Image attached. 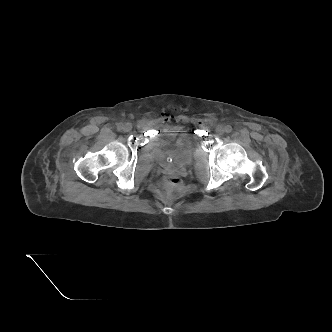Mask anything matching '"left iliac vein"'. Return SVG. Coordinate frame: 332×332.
<instances>
[{
  "label": "left iliac vein",
  "instance_id": "4c4485c4",
  "mask_svg": "<svg viewBox=\"0 0 332 332\" xmlns=\"http://www.w3.org/2000/svg\"><path fill=\"white\" fill-rule=\"evenodd\" d=\"M216 132H217L218 134H224V133L226 132V130H225V128H224L222 125H218V126L216 127Z\"/></svg>",
  "mask_w": 332,
  "mask_h": 332
}]
</instances>
